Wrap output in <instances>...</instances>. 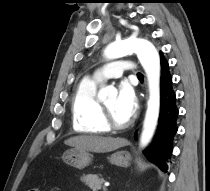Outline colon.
I'll use <instances>...</instances> for the list:
<instances>
[{
	"label": "colon",
	"instance_id": "obj_1",
	"mask_svg": "<svg viewBox=\"0 0 210 191\" xmlns=\"http://www.w3.org/2000/svg\"><path fill=\"white\" fill-rule=\"evenodd\" d=\"M29 191H42V190L39 189V188H32V189H30Z\"/></svg>",
	"mask_w": 210,
	"mask_h": 191
}]
</instances>
